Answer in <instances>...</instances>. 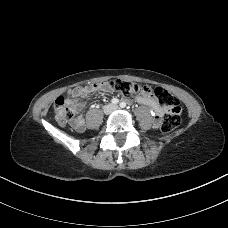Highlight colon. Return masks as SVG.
Segmentation results:
<instances>
[{"instance_id":"colon-1","label":"colon","mask_w":228,"mask_h":228,"mask_svg":"<svg viewBox=\"0 0 228 228\" xmlns=\"http://www.w3.org/2000/svg\"><path fill=\"white\" fill-rule=\"evenodd\" d=\"M97 84H94L96 86ZM102 85L109 87L123 95H141L150 92V88L136 82H127L122 80H115ZM154 95L158 99L162 107L167 110L162 124L161 130L165 133L173 131L178 127L181 121L182 109L179 106L177 98L162 87L154 89ZM54 117L60 124H67L75 121V112L73 108L68 105L64 97H58L54 103Z\"/></svg>"}]
</instances>
